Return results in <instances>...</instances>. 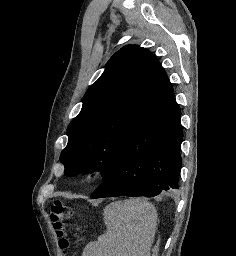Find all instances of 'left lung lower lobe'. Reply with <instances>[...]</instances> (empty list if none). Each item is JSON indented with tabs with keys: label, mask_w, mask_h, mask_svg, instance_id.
<instances>
[{
	"label": "left lung lower lobe",
	"mask_w": 236,
	"mask_h": 256,
	"mask_svg": "<svg viewBox=\"0 0 236 256\" xmlns=\"http://www.w3.org/2000/svg\"><path fill=\"white\" fill-rule=\"evenodd\" d=\"M181 111L174 96L133 131L108 178L91 198L156 196L178 188L182 167Z\"/></svg>",
	"instance_id": "1"
}]
</instances>
